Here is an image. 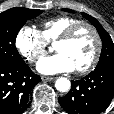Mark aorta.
Returning a JSON list of instances; mask_svg holds the SVG:
<instances>
[{"label":"aorta","instance_id":"762f6f07","mask_svg":"<svg viewBox=\"0 0 114 114\" xmlns=\"http://www.w3.org/2000/svg\"><path fill=\"white\" fill-rule=\"evenodd\" d=\"M55 87L60 92H66L70 89L71 83L67 78H58L55 82Z\"/></svg>","mask_w":114,"mask_h":114}]
</instances>
